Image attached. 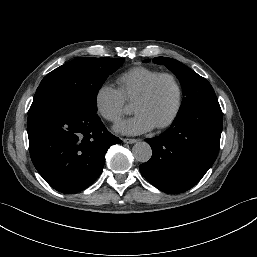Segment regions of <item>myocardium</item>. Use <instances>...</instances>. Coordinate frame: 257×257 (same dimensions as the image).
Listing matches in <instances>:
<instances>
[{"label":"myocardium","instance_id":"f54148a6","mask_svg":"<svg viewBox=\"0 0 257 257\" xmlns=\"http://www.w3.org/2000/svg\"><path fill=\"white\" fill-rule=\"evenodd\" d=\"M164 78H168L174 83V85L176 87V91H177V100H176L175 108H174L172 114L170 115V117L167 120H165L164 122L155 126V128H157L159 130L165 129V128L171 126L177 120V118L179 117L180 112L182 110L184 95H183V88H182V85H181L179 79L172 73H161V74L157 75L155 78H153L133 101V104H135L137 102L147 99L150 96V94L152 93V91L155 88V86L157 85V83Z\"/></svg>","mask_w":257,"mask_h":257}]
</instances>
